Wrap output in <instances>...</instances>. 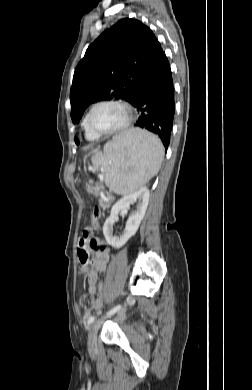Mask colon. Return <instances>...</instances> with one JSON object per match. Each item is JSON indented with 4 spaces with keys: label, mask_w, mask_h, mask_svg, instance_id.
I'll return each mask as SVG.
<instances>
[{
    "label": "colon",
    "mask_w": 252,
    "mask_h": 390,
    "mask_svg": "<svg viewBox=\"0 0 252 390\" xmlns=\"http://www.w3.org/2000/svg\"><path fill=\"white\" fill-rule=\"evenodd\" d=\"M101 218V211L98 208H95L92 216V226L94 229L99 228V221ZM88 260V256L86 254L82 255L81 257V265L82 269L80 271V276L83 279H88L89 278V272L87 269L84 267L85 262ZM80 306L83 310L89 311L94 309V298L91 294L89 293H84L80 297Z\"/></svg>",
    "instance_id": "obj_1"
}]
</instances>
